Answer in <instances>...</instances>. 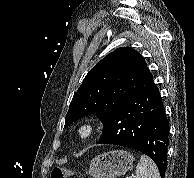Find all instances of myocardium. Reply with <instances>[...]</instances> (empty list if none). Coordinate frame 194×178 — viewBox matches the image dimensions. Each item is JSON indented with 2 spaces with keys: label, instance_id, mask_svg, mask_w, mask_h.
I'll return each instance as SVG.
<instances>
[{
  "label": "myocardium",
  "instance_id": "obj_1",
  "mask_svg": "<svg viewBox=\"0 0 194 178\" xmlns=\"http://www.w3.org/2000/svg\"><path fill=\"white\" fill-rule=\"evenodd\" d=\"M98 132L97 125L93 121H84L77 128V136L82 141H88L96 136Z\"/></svg>",
  "mask_w": 194,
  "mask_h": 178
}]
</instances>
